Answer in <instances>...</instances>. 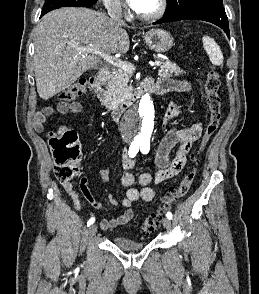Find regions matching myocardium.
Here are the masks:
<instances>
[{"label":"myocardium","instance_id":"f54148a6","mask_svg":"<svg viewBox=\"0 0 259 294\" xmlns=\"http://www.w3.org/2000/svg\"><path fill=\"white\" fill-rule=\"evenodd\" d=\"M168 8V0H159V6L158 9L151 13V14H140L137 11L135 12L136 17L143 21H155L163 17L167 11Z\"/></svg>","mask_w":259,"mask_h":294}]
</instances>
